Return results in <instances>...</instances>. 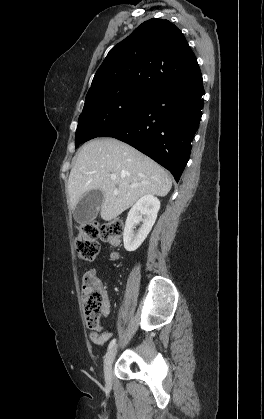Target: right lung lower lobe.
Here are the masks:
<instances>
[{"instance_id": "obj_1", "label": "right lung lower lobe", "mask_w": 264, "mask_h": 419, "mask_svg": "<svg viewBox=\"0 0 264 419\" xmlns=\"http://www.w3.org/2000/svg\"><path fill=\"white\" fill-rule=\"evenodd\" d=\"M202 79L153 94L127 119L99 137H114L168 169L178 182L191 153L202 116Z\"/></svg>"}]
</instances>
